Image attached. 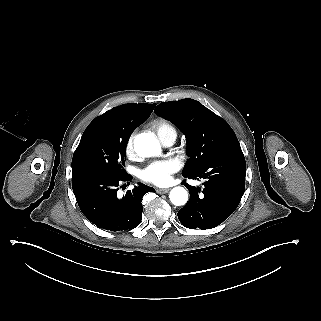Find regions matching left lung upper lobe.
I'll return each mask as SVG.
<instances>
[{
	"instance_id": "1",
	"label": "left lung upper lobe",
	"mask_w": 321,
	"mask_h": 321,
	"mask_svg": "<svg viewBox=\"0 0 321 321\" xmlns=\"http://www.w3.org/2000/svg\"><path fill=\"white\" fill-rule=\"evenodd\" d=\"M155 112L176 125L186 137L189 159L183 174L199 171L216 157L242 151L227 122L196 100L162 102Z\"/></svg>"
}]
</instances>
